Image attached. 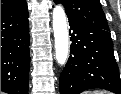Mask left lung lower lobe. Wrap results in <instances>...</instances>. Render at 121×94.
I'll return each mask as SVG.
<instances>
[{
    "instance_id": "0a47b994",
    "label": "left lung lower lobe",
    "mask_w": 121,
    "mask_h": 94,
    "mask_svg": "<svg viewBox=\"0 0 121 94\" xmlns=\"http://www.w3.org/2000/svg\"><path fill=\"white\" fill-rule=\"evenodd\" d=\"M68 19L72 43L69 59L60 76V94H80L93 88L121 94L110 31Z\"/></svg>"
}]
</instances>
